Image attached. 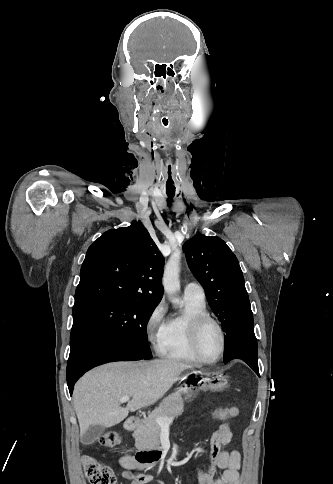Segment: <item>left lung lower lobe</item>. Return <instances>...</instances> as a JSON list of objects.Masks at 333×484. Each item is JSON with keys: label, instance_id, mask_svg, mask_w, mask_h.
<instances>
[{"label": "left lung lower lobe", "instance_id": "obj_1", "mask_svg": "<svg viewBox=\"0 0 333 484\" xmlns=\"http://www.w3.org/2000/svg\"><path fill=\"white\" fill-rule=\"evenodd\" d=\"M257 340L254 334L253 314L251 308L239 313L229 326L225 336L224 362L242 359L257 374L258 369Z\"/></svg>", "mask_w": 333, "mask_h": 484}]
</instances>
